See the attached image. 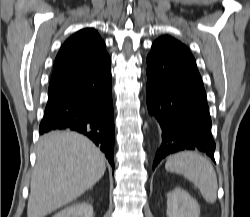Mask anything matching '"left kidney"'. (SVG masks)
I'll list each match as a JSON object with an SVG mask.
<instances>
[{
  "instance_id": "1",
  "label": "left kidney",
  "mask_w": 250,
  "mask_h": 217,
  "mask_svg": "<svg viewBox=\"0 0 250 217\" xmlns=\"http://www.w3.org/2000/svg\"><path fill=\"white\" fill-rule=\"evenodd\" d=\"M200 207L190 194L176 187L167 194V217H199Z\"/></svg>"
}]
</instances>
